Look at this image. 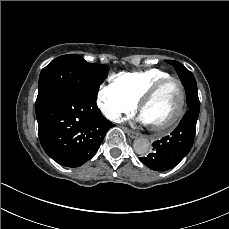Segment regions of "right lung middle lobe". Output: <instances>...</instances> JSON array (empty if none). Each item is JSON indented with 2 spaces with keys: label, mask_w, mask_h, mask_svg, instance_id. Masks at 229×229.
Listing matches in <instances>:
<instances>
[{
  "label": "right lung middle lobe",
  "mask_w": 229,
  "mask_h": 229,
  "mask_svg": "<svg viewBox=\"0 0 229 229\" xmlns=\"http://www.w3.org/2000/svg\"><path fill=\"white\" fill-rule=\"evenodd\" d=\"M109 67L86 62L77 54L63 55L42 69L35 108L52 93L66 88L79 90L95 99L100 84L107 78Z\"/></svg>",
  "instance_id": "1"
}]
</instances>
